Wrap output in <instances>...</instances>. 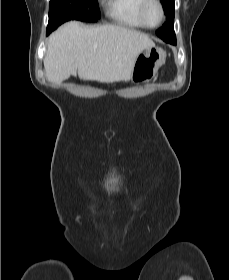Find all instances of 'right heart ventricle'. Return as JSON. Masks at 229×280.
Segmentation results:
<instances>
[{
    "instance_id": "right-heart-ventricle-1",
    "label": "right heart ventricle",
    "mask_w": 229,
    "mask_h": 280,
    "mask_svg": "<svg viewBox=\"0 0 229 280\" xmlns=\"http://www.w3.org/2000/svg\"><path fill=\"white\" fill-rule=\"evenodd\" d=\"M108 17L112 22L128 28H146L139 10L144 0H104Z\"/></svg>"
}]
</instances>
